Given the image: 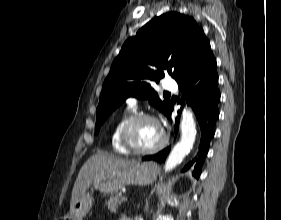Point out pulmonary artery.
<instances>
[{"mask_svg": "<svg viewBox=\"0 0 281 220\" xmlns=\"http://www.w3.org/2000/svg\"><path fill=\"white\" fill-rule=\"evenodd\" d=\"M163 88L165 90L171 91V92H176L178 89L177 83L174 80H166L163 84ZM128 105L131 108H135L137 105V100L135 98H129L127 100Z\"/></svg>", "mask_w": 281, "mask_h": 220, "instance_id": "obj_1", "label": "pulmonary artery"}]
</instances>
